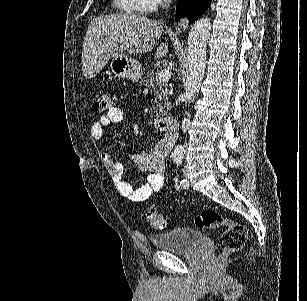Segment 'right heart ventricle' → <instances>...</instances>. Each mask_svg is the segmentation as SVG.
<instances>
[{"label": "right heart ventricle", "instance_id": "obj_1", "mask_svg": "<svg viewBox=\"0 0 307 301\" xmlns=\"http://www.w3.org/2000/svg\"><path fill=\"white\" fill-rule=\"evenodd\" d=\"M120 13L137 12V8H143V0H118Z\"/></svg>", "mask_w": 307, "mask_h": 301}]
</instances>
